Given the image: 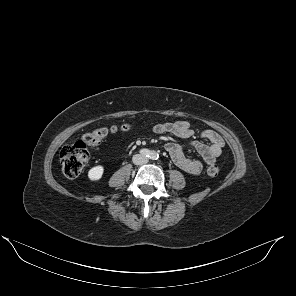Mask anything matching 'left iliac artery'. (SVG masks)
<instances>
[{
    "mask_svg": "<svg viewBox=\"0 0 296 296\" xmlns=\"http://www.w3.org/2000/svg\"><path fill=\"white\" fill-rule=\"evenodd\" d=\"M151 158H154L155 157V153H151Z\"/></svg>",
    "mask_w": 296,
    "mask_h": 296,
    "instance_id": "44dca946",
    "label": "left iliac artery"
}]
</instances>
